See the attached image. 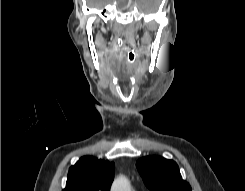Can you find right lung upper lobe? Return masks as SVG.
<instances>
[{
	"instance_id": "obj_1",
	"label": "right lung upper lobe",
	"mask_w": 245,
	"mask_h": 191,
	"mask_svg": "<svg viewBox=\"0 0 245 191\" xmlns=\"http://www.w3.org/2000/svg\"><path fill=\"white\" fill-rule=\"evenodd\" d=\"M113 179V162L84 156L70 168L62 191H109Z\"/></svg>"
}]
</instances>
